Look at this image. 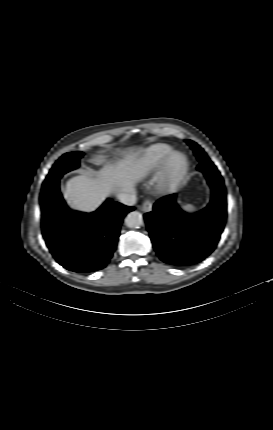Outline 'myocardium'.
Returning a JSON list of instances; mask_svg holds the SVG:
<instances>
[{"mask_svg":"<svg viewBox=\"0 0 273 430\" xmlns=\"http://www.w3.org/2000/svg\"><path fill=\"white\" fill-rule=\"evenodd\" d=\"M188 170L186 157L177 151L171 152L163 161L159 174V182L163 188L177 184Z\"/></svg>","mask_w":273,"mask_h":430,"instance_id":"f54148a6","label":"myocardium"}]
</instances>
